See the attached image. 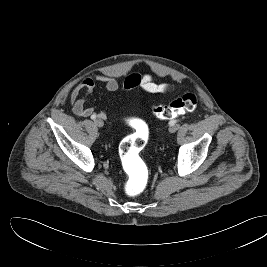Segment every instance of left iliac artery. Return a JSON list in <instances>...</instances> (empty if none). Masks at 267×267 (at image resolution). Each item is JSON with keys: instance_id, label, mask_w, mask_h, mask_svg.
I'll return each instance as SVG.
<instances>
[{"instance_id": "44dca946", "label": "left iliac artery", "mask_w": 267, "mask_h": 267, "mask_svg": "<svg viewBox=\"0 0 267 267\" xmlns=\"http://www.w3.org/2000/svg\"><path fill=\"white\" fill-rule=\"evenodd\" d=\"M177 122H178V120L174 119V120H171V121L169 122V124H170V125H174V124H176Z\"/></svg>"}]
</instances>
